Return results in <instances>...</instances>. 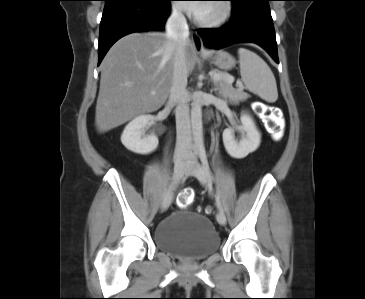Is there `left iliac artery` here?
Segmentation results:
<instances>
[{"instance_id": "left-iliac-artery-1", "label": "left iliac artery", "mask_w": 365, "mask_h": 299, "mask_svg": "<svg viewBox=\"0 0 365 299\" xmlns=\"http://www.w3.org/2000/svg\"><path fill=\"white\" fill-rule=\"evenodd\" d=\"M199 157H200V160L202 162V165L205 169V171L207 172V174L209 175L210 178H212V174H211V170H210V167H209V164H208V160H207V156H206V151L204 148L200 149L199 150ZM216 205H217V208L224 212V209L222 207V204H221V201H220V197H219V194L217 193L216 194Z\"/></svg>"}]
</instances>
